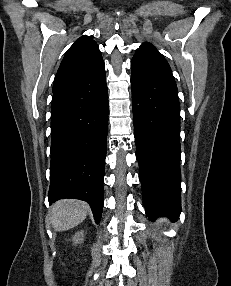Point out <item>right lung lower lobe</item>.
I'll return each instance as SVG.
<instances>
[{"mask_svg":"<svg viewBox=\"0 0 231 286\" xmlns=\"http://www.w3.org/2000/svg\"><path fill=\"white\" fill-rule=\"evenodd\" d=\"M49 202L62 198L89 203L95 222L102 215L108 130L105 69L53 91Z\"/></svg>","mask_w":231,"mask_h":286,"instance_id":"98d812e1","label":"right lung lower lobe"}]
</instances>
